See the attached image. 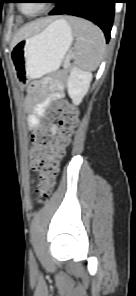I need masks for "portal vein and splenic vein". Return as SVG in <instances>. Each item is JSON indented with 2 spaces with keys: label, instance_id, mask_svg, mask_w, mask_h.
I'll return each mask as SVG.
<instances>
[{
  "label": "portal vein and splenic vein",
  "instance_id": "1",
  "mask_svg": "<svg viewBox=\"0 0 136 296\" xmlns=\"http://www.w3.org/2000/svg\"><path fill=\"white\" fill-rule=\"evenodd\" d=\"M69 65V60L65 63L64 67H67Z\"/></svg>",
  "mask_w": 136,
  "mask_h": 296
}]
</instances>
